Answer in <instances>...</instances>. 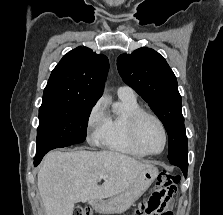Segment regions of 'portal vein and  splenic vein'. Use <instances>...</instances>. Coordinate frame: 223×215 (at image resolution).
I'll list each match as a JSON object with an SVG mask.
<instances>
[{
    "label": "portal vein and splenic vein",
    "mask_w": 223,
    "mask_h": 215,
    "mask_svg": "<svg viewBox=\"0 0 223 215\" xmlns=\"http://www.w3.org/2000/svg\"><path fill=\"white\" fill-rule=\"evenodd\" d=\"M99 177H106V175H99Z\"/></svg>",
    "instance_id": "1"
}]
</instances>
